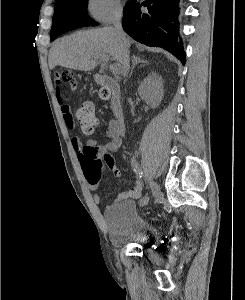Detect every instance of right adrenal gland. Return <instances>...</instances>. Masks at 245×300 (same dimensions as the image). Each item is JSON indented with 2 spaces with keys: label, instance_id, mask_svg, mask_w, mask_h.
Returning a JSON list of instances; mask_svg holds the SVG:
<instances>
[{
  "label": "right adrenal gland",
  "instance_id": "2a0ac1e0",
  "mask_svg": "<svg viewBox=\"0 0 245 300\" xmlns=\"http://www.w3.org/2000/svg\"><path fill=\"white\" fill-rule=\"evenodd\" d=\"M139 63L145 64V65L149 64V62H148L147 60H143V59H141L139 56L133 55V56H132V67H131V72H130V75H129L130 77H131V75H132V72H133L134 67H135L137 64H139Z\"/></svg>",
  "mask_w": 245,
  "mask_h": 300
}]
</instances>
